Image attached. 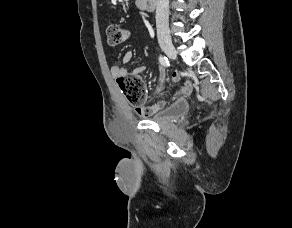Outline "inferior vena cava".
Masks as SVG:
<instances>
[{
    "mask_svg": "<svg viewBox=\"0 0 292 228\" xmlns=\"http://www.w3.org/2000/svg\"><path fill=\"white\" fill-rule=\"evenodd\" d=\"M169 0H157L156 4V27L158 41L170 40L168 24Z\"/></svg>",
    "mask_w": 292,
    "mask_h": 228,
    "instance_id": "602c4592",
    "label": "inferior vena cava"
}]
</instances>
